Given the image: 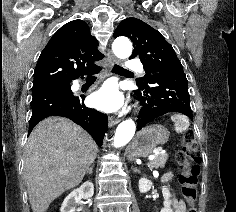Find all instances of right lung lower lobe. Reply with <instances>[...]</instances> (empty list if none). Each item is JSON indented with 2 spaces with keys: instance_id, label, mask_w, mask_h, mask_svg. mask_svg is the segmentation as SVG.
Listing matches in <instances>:
<instances>
[{
  "instance_id": "1",
  "label": "right lung lower lobe",
  "mask_w": 236,
  "mask_h": 212,
  "mask_svg": "<svg viewBox=\"0 0 236 212\" xmlns=\"http://www.w3.org/2000/svg\"><path fill=\"white\" fill-rule=\"evenodd\" d=\"M100 71L101 67L96 65L87 74H97ZM64 86H69V89ZM84 98L85 96L77 97L73 95L70 83L66 85L53 83L33 85L32 116L29 122L28 134L42 119L48 116H63L84 128L101 146L104 134L108 129V117L95 109L86 107Z\"/></svg>"
}]
</instances>
